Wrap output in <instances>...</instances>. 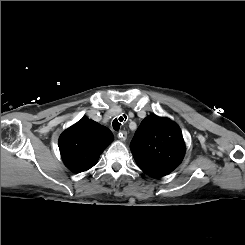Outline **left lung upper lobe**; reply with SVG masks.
<instances>
[{
  "label": "left lung upper lobe",
  "mask_w": 245,
  "mask_h": 245,
  "mask_svg": "<svg viewBox=\"0 0 245 245\" xmlns=\"http://www.w3.org/2000/svg\"><path fill=\"white\" fill-rule=\"evenodd\" d=\"M130 149L138 167L157 178L176 169L186 150L180 127L157 115H150L141 122Z\"/></svg>",
  "instance_id": "5c2ea615"
}]
</instances>
